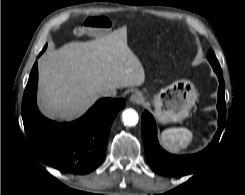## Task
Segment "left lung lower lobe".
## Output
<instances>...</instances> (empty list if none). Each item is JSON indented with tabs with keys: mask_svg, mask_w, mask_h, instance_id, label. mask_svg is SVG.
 <instances>
[{
	"mask_svg": "<svg viewBox=\"0 0 245 195\" xmlns=\"http://www.w3.org/2000/svg\"><path fill=\"white\" fill-rule=\"evenodd\" d=\"M219 79L218 90V104L217 109L219 111L218 125L219 129L207 148L203 151L193 155L176 156L169 154L163 150L157 140L156 124L153 116L145 111L142 114L141 133L145 148V155L148 164L158 174L179 177L194 172L201 162V160L207 155L212 147L216 146L222 130L225 125L226 118V106H225V85L222 76V71L214 69Z\"/></svg>",
	"mask_w": 245,
	"mask_h": 195,
	"instance_id": "left-lung-lower-lobe-1",
	"label": "left lung lower lobe"
}]
</instances>
